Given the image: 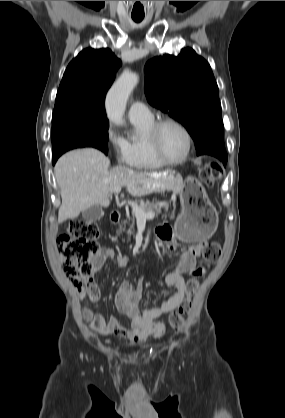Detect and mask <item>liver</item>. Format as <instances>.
I'll list each match as a JSON object with an SVG mask.
<instances>
[{"instance_id": "1", "label": "liver", "mask_w": 285, "mask_h": 418, "mask_svg": "<svg viewBox=\"0 0 285 418\" xmlns=\"http://www.w3.org/2000/svg\"><path fill=\"white\" fill-rule=\"evenodd\" d=\"M110 160L100 151L85 148L61 156L54 168L60 187L62 204L58 222L75 219L92 205L108 207L110 193L125 186L133 197H142L155 191L180 193L183 179L180 174L134 171L124 166L109 170Z\"/></svg>"}]
</instances>
